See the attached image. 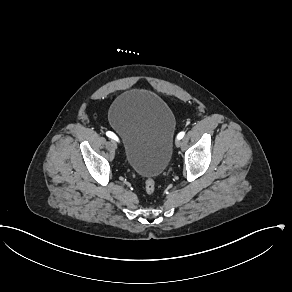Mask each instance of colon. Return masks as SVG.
Here are the masks:
<instances>
[{
    "label": "colon",
    "instance_id": "1",
    "mask_svg": "<svg viewBox=\"0 0 292 292\" xmlns=\"http://www.w3.org/2000/svg\"><path fill=\"white\" fill-rule=\"evenodd\" d=\"M156 189V183L153 179L147 178L144 183V191L147 196H153Z\"/></svg>",
    "mask_w": 292,
    "mask_h": 292
}]
</instances>
